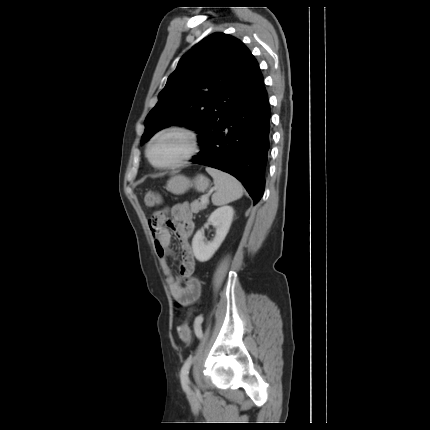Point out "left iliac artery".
I'll return each mask as SVG.
<instances>
[{
    "mask_svg": "<svg viewBox=\"0 0 430 430\" xmlns=\"http://www.w3.org/2000/svg\"><path fill=\"white\" fill-rule=\"evenodd\" d=\"M195 320H196V322L194 323V332L197 334V336L199 337V338H202V336H203V332H204V329H203V323H202V321L204 320V317L201 315V314H198L196 317H195ZM193 356L192 355H190L188 358H187V360L184 362V364H183V366H182V368H181V375H180V377H181V382L184 384V385H186V384H188V382H189V377H188V374H189V369H190V366H191V364H192V362H193Z\"/></svg>",
    "mask_w": 430,
    "mask_h": 430,
    "instance_id": "1",
    "label": "left iliac artery"
}]
</instances>
